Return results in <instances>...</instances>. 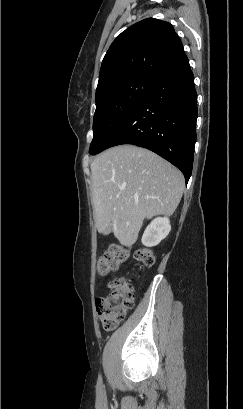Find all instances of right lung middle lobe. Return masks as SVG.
<instances>
[{"label":"right lung middle lobe","instance_id":"dd1d6c3e","mask_svg":"<svg viewBox=\"0 0 243 409\" xmlns=\"http://www.w3.org/2000/svg\"><path fill=\"white\" fill-rule=\"evenodd\" d=\"M158 80L137 77L113 85L96 99L90 154L101 152L114 131L129 117Z\"/></svg>","mask_w":243,"mask_h":409}]
</instances>
